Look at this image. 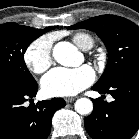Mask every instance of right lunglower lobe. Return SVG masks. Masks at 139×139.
<instances>
[{
	"label": "right lung lower lobe",
	"mask_w": 139,
	"mask_h": 139,
	"mask_svg": "<svg viewBox=\"0 0 139 139\" xmlns=\"http://www.w3.org/2000/svg\"><path fill=\"white\" fill-rule=\"evenodd\" d=\"M37 83L23 85L0 78V139H47L51 130L52 116L66 103L62 98L33 101Z\"/></svg>",
	"instance_id": "obj_1"
}]
</instances>
